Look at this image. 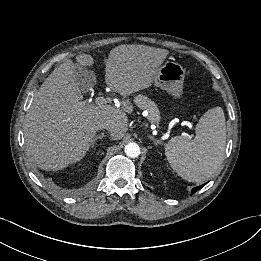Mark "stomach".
<instances>
[{
  "label": "stomach",
  "mask_w": 261,
  "mask_h": 261,
  "mask_svg": "<svg viewBox=\"0 0 261 261\" xmlns=\"http://www.w3.org/2000/svg\"><path fill=\"white\" fill-rule=\"evenodd\" d=\"M184 78L185 69L177 62L167 61L159 68L154 84L179 98L182 95Z\"/></svg>",
  "instance_id": "stomach-1"
}]
</instances>
